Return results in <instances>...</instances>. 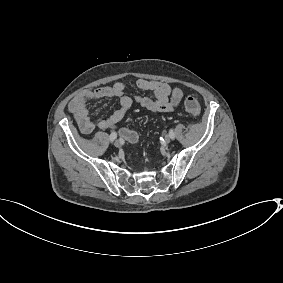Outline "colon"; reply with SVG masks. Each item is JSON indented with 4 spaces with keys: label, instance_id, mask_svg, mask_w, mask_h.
I'll list each match as a JSON object with an SVG mask.
<instances>
[{
    "label": "colon",
    "instance_id": "1",
    "mask_svg": "<svg viewBox=\"0 0 283 283\" xmlns=\"http://www.w3.org/2000/svg\"><path fill=\"white\" fill-rule=\"evenodd\" d=\"M184 107H185L186 111L194 117L199 116V114L201 113V105H200L199 101L194 97L186 98V100L184 102ZM122 135L126 139L137 140V138H138V136L135 132L130 131L128 129H123Z\"/></svg>",
    "mask_w": 283,
    "mask_h": 283
}]
</instances>
